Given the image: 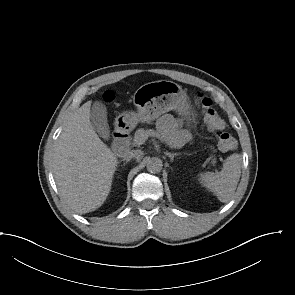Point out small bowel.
Wrapping results in <instances>:
<instances>
[{
	"mask_svg": "<svg viewBox=\"0 0 295 295\" xmlns=\"http://www.w3.org/2000/svg\"><path fill=\"white\" fill-rule=\"evenodd\" d=\"M158 127L162 131L175 135L178 141H185L188 139V133L180 131L178 122L171 116H163L158 120Z\"/></svg>",
	"mask_w": 295,
	"mask_h": 295,
	"instance_id": "c3829d8e",
	"label": "small bowel"
}]
</instances>
